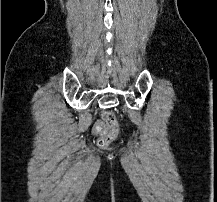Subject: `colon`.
<instances>
[{
  "instance_id": "obj_1",
  "label": "colon",
  "mask_w": 217,
  "mask_h": 202,
  "mask_svg": "<svg viewBox=\"0 0 217 202\" xmlns=\"http://www.w3.org/2000/svg\"><path fill=\"white\" fill-rule=\"evenodd\" d=\"M101 119H104L108 126H111L113 129V133H107V137H97V143L101 147L108 146L109 142L112 141V138H116V134H118L119 124H116L115 114L111 111H106L104 114H101Z\"/></svg>"
}]
</instances>
